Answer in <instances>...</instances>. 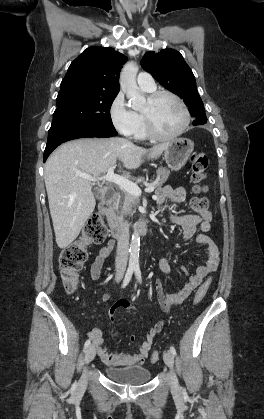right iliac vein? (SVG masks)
Instances as JSON below:
<instances>
[{
  "label": "right iliac vein",
  "instance_id": "obj_1",
  "mask_svg": "<svg viewBox=\"0 0 264 419\" xmlns=\"http://www.w3.org/2000/svg\"><path fill=\"white\" fill-rule=\"evenodd\" d=\"M96 354L95 347L93 345H90L85 352V363H90ZM82 383H86V370L84 371L83 377H82Z\"/></svg>",
  "mask_w": 264,
  "mask_h": 419
}]
</instances>
